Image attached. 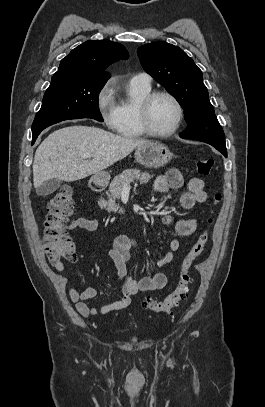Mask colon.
Here are the masks:
<instances>
[{"label": "colon", "instance_id": "1", "mask_svg": "<svg viewBox=\"0 0 265 407\" xmlns=\"http://www.w3.org/2000/svg\"><path fill=\"white\" fill-rule=\"evenodd\" d=\"M197 172L201 175H208L214 165V161L209 157H199L195 161ZM221 196L216 195L215 201L220 202ZM74 209V194L69 187H62L56 191L47 205V217L44 229V248L48 260L53 265L70 261L74 258V245L70 238L63 231V224L71 215ZM209 219V223H211ZM209 239V232L203 231L190 251L184 257L178 276L176 288L163 300H155L151 297L144 298L142 306L144 309L161 314L171 313L179 304L187 300L189 296V286L192 283L190 269L192 265L204 252Z\"/></svg>", "mask_w": 265, "mask_h": 407}]
</instances>
